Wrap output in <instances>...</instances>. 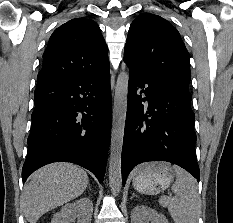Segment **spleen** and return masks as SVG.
I'll use <instances>...</instances> for the list:
<instances>
[{
	"mask_svg": "<svg viewBox=\"0 0 233 223\" xmlns=\"http://www.w3.org/2000/svg\"><path fill=\"white\" fill-rule=\"evenodd\" d=\"M177 179L171 189L175 195H160L158 201L168 211L175 223H196L201 209L200 195L194 177L181 167H175Z\"/></svg>",
	"mask_w": 233,
	"mask_h": 223,
	"instance_id": "3e777b00",
	"label": "spleen"
}]
</instances>
